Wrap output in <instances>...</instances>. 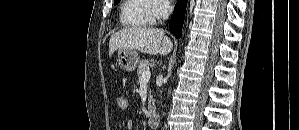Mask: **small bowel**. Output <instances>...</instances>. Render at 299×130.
<instances>
[{
    "instance_id": "obj_1",
    "label": "small bowel",
    "mask_w": 299,
    "mask_h": 130,
    "mask_svg": "<svg viewBox=\"0 0 299 130\" xmlns=\"http://www.w3.org/2000/svg\"><path fill=\"white\" fill-rule=\"evenodd\" d=\"M134 128V123L133 121L129 120L126 122V130H133Z\"/></svg>"
}]
</instances>
